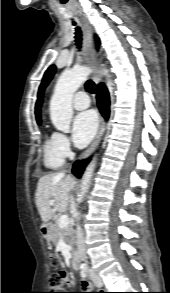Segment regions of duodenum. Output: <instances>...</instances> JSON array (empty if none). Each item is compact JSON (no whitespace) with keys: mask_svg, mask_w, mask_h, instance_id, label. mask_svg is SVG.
<instances>
[{"mask_svg":"<svg viewBox=\"0 0 170 293\" xmlns=\"http://www.w3.org/2000/svg\"><path fill=\"white\" fill-rule=\"evenodd\" d=\"M41 233L44 237H47L48 236V227L43 226L41 228ZM72 266L75 270L79 269V257L77 255V253H74V256L72 258Z\"/></svg>","mask_w":170,"mask_h":293,"instance_id":"1","label":"duodenum"}]
</instances>
